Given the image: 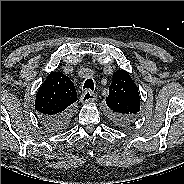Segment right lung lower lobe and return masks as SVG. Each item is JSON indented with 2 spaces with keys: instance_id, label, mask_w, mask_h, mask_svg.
<instances>
[{
  "instance_id": "98d812e1",
  "label": "right lung lower lobe",
  "mask_w": 184,
  "mask_h": 184,
  "mask_svg": "<svg viewBox=\"0 0 184 184\" xmlns=\"http://www.w3.org/2000/svg\"><path fill=\"white\" fill-rule=\"evenodd\" d=\"M70 116V110H67L64 113L55 116H41L40 119L49 130H53L63 127L70 120Z\"/></svg>"
}]
</instances>
